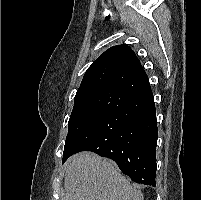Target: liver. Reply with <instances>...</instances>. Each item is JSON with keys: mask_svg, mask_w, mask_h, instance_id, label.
<instances>
[{"mask_svg": "<svg viewBox=\"0 0 201 200\" xmlns=\"http://www.w3.org/2000/svg\"><path fill=\"white\" fill-rule=\"evenodd\" d=\"M64 187V200H143L114 162L91 152L69 159Z\"/></svg>", "mask_w": 201, "mask_h": 200, "instance_id": "liver-1", "label": "liver"}]
</instances>
